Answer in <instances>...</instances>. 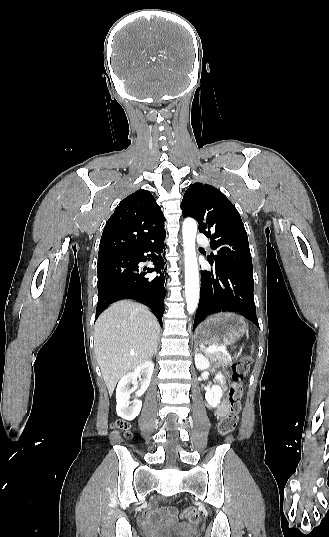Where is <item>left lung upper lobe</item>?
<instances>
[{"instance_id": "1", "label": "left lung upper lobe", "mask_w": 329, "mask_h": 537, "mask_svg": "<svg viewBox=\"0 0 329 537\" xmlns=\"http://www.w3.org/2000/svg\"><path fill=\"white\" fill-rule=\"evenodd\" d=\"M181 209L184 216L197 220L199 232L210 238V263H218L253 273L248 237L235 206L215 187L194 183L186 190Z\"/></svg>"}]
</instances>
